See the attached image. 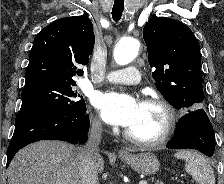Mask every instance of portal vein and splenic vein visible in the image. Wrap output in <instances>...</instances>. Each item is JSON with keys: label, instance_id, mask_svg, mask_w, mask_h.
Wrapping results in <instances>:
<instances>
[{"label": "portal vein and splenic vein", "instance_id": "1", "mask_svg": "<svg viewBox=\"0 0 224 184\" xmlns=\"http://www.w3.org/2000/svg\"><path fill=\"white\" fill-rule=\"evenodd\" d=\"M139 184H148L147 181H140Z\"/></svg>", "mask_w": 224, "mask_h": 184}]
</instances>
